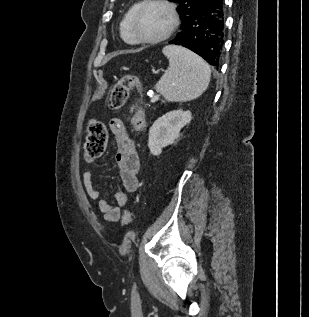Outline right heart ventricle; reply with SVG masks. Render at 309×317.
Segmentation results:
<instances>
[{"label": "right heart ventricle", "instance_id": "1", "mask_svg": "<svg viewBox=\"0 0 309 317\" xmlns=\"http://www.w3.org/2000/svg\"><path fill=\"white\" fill-rule=\"evenodd\" d=\"M139 4L136 3L134 4L124 15L121 24H120V32H121V37L122 39L129 43V44H135L137 43L133 33H132V28H131V20L133 17V14Z\"/></svg>", "mask_w": 309, "mask_h": 317}]
</instances>
